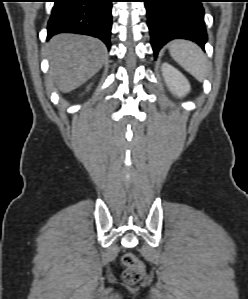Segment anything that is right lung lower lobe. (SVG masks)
Returning a JSON list of instances; mask_svg holds the SVG:
<instances>
[{
    "instance_id": "98d812e1",
    "label": "right lung lower lobe",
    "mask_w": 248,
    "mask_h": 299,
    "mask_svg": "<svg viewBox=\"0 0 248 299\" xmlns=\"http://www.w3.org/2000/svg\"><path fill=\"white\" fill-rule=\"evenodd\" d=\"M113 0H55L48 21V39L58 33H77L101 39L110 48Z\"/></svg>"
}]
</instances>
